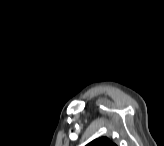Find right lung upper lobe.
Returning a JSON list of instances; mask_svg holds the SVG:
<instances>
[{"label": "right lung upper lobe", "mask_w": 164, "mask_h": 146, "mask_svg": "<svg viewBox=\"0 0 164 146\" xmlns=\"http://www.w3.org/2000/svg\"><path fill=\"white\" fill-rule=\"evenodd\" d=\"M87 146H115L110 140L106 137H101L93 140Z\"/></svg>", "instance_id": "right-lung-upper-lobe-1"}]
</instances>
